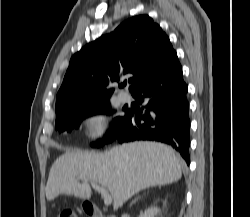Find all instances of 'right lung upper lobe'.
<instances>
[{"mask_svg":"<svg viewBox=\"0 0 250 217\" xmlns=\"http://www.w3.org/2000/svg\"><path fill=\"white\" fill-rule=\"evenodd\" d=\"M176 55L167 35L148 15L134 16L114 32L87 44L70 60L56 96V119L109 101V81L129 79L131 94L158 74Z\"/></svg>","mask_w":250,"mask_h":217,"instance_id":"1","label":"right lung upper lobe"}]
</instances>
